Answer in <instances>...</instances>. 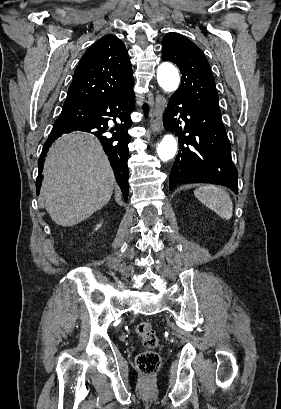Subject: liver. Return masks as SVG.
I'll use <instances>...</instances> for the list:
<instances>
[{
	"label": "liver",
	"mask_w": 281,
	"mask_h": 409,
	"mask_svg": "<svg viewBox=\"0 0 281 409\" xmlns=\"http://www.w3.org/2000/svg\"><path fill=\"white\" fill-rule=\"evenodd\" d=\"M41 198L52 221L73 227L109 202L114 174L91 132H71L56 140L44 162Z\"/></svg>",
	"instance_id": "obj_1"
}]
</instances>
